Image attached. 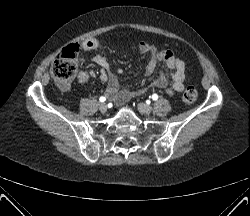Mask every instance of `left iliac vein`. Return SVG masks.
<instances>
[{
    "instance_id": "4c4485c4",
    "label": "left iliac vein",
    "mask_w": 250,
    "mask_h": 216,
    "mask_svg": "<svg viewBox=\"0 0 250 216\" xmlns=\"http://www.w3.org/2000/svg\"><path fill=\"white\" fill-rule=\"evenodd\" d=\"M138 110L142 114H150L152 112V107L150 105L145 104V103H139Z\"/></svg>"
}]
</instances>
